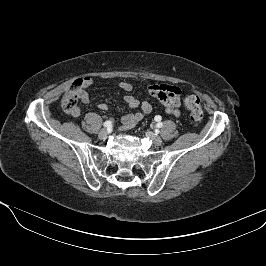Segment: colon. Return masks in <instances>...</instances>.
Wrapping results in <instances>:
<instances>
[{
    "label": "colon",
    "instance_id": "obj_1",
    "mask_svg": "<svg viewBox=\"0 0 266 266\" xmlns=\"http://www.w3.org/2000/svg\"><path fill=\"white\" fill-rule=\"evenodd\" d=\"M80 82L76 80L71 89L62 98V107L68 113H73L78 108ZM186 109L190 112V119L194 125H199L203 118L200 100L195 95H188L184 101Z\"/></svg>",
    "mask_w": 266,
    "mask_h": 266
}]
</instances>
